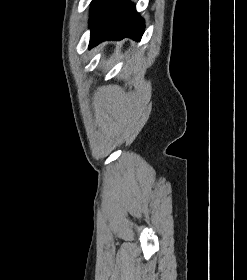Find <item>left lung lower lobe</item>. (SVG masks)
Masks as SVG:
<instances>
[{"mask_svg":"<svg viewBox=\"0 0 247 280\" xmlns=\"http://www.w3.org/2000/svg\"><path fill=\"white\" fill-rule=\"evenodd\" d=\"M89 27V48H92L107 39L129 37L140 40L144 32V20L129 0H100L92 10Z\"/></svg>","mask_w":247,"mask_h":280,"instance_id":"obj_1","label":"left lung lower lobe"}]
</instances>
